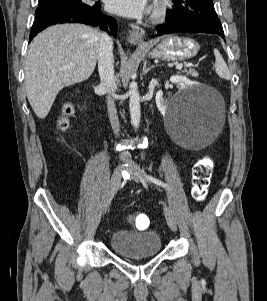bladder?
I'll use <instances>...</instances> for the list:
<instances>
[{
    "label": "bladder",
    "mask_w": 267,
    "mask_h": 301,
    "mask_svg": "<svg viewBox=\"0 0 267 301\" xmlns=\"http://www.w3.org/2000/svg\"><path fill=\"white\" fill-rule=\"evenodd\" d=\"M110 247L123 259L152 257L160 253V235L151 230L140 232L120 230L110 237Z\"/></svg>",
    "instance_id": "bladder-1"
}]
</instances>
